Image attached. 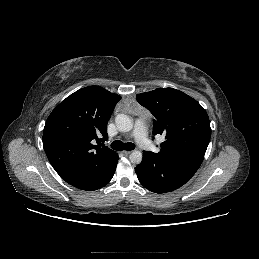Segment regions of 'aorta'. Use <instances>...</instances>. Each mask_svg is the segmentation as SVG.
<instances>
[{
  "label": "aorta",
  "mask_w": 259,
  "mask_h": 259,
  "mask_svg": "<svg viewBox=\"0 0 259 259\" xmlns=\"http://www.w3.org/2000/svg\"><path fill=\"white\" fill-rule=\"evenodd\" d=\"M115 123L120 132H129L133 128L132 119L125 114H118L115 118ZM129 159L133 164H139L142 161V152L139 150L133 151Z\"/></svg>",
  "instance_id": "obj_1"
}]
</instances>
